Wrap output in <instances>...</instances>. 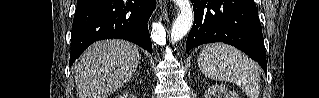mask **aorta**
<instances>
[{
    "label": "aorta",
    "instance_id": "762f6f07",
    "mask_svg": "<svg viewBox=\"0 0 319 98\" xmlns=\"http://www.w3.org/2000/svg\"><path fill=\"white\" fill-rule=\"evenodd\" d=\"M179 7V14L170 33L171 43L180 41L191 29L193 24V9L190 0H174Z\"/></svg>",
    "mask_w": 319,
    "mask_h": 98
}]
</instances>
